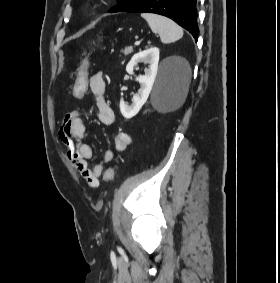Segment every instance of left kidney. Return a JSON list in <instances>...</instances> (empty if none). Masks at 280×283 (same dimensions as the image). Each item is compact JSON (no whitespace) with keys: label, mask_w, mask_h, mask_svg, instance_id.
Segmentation results:
<instances>
[{"label":"left kidney","mask_w":280,"mask_h":283,"mask_svg":"<svg viewBox=\"0 0 280 283\" xmlns=\"http://www.w3.org/2000/svg\"><path fill=\"white\" fill-rule=\"evenodd\" d=\"M178 59V58H173ZM182 64H185L183 59H178ZM139 62L149 64V68L145 71V75H140L136 81L140 83V89L137 94L133 96L132 104L128 105L123 100H120V112L124 118L130 119L134 117L147 101L149 94L152 90L159 63V49L152 47L135 54L126 66V72L133 74L134 67Z\"/></svg>","instance_id":"5707ae66"}]
</instances>
